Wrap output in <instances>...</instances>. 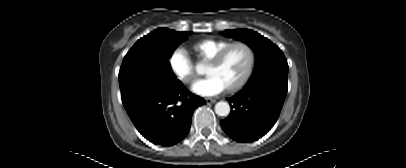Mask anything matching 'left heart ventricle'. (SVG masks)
<instances>
[{"label":"left heart ventricle","instance_id":"left-heart-ventricle-1","mask_svg":"<svg viewBox=\"0 0 406 168\" xmlns=\"http://www.w3.org/2000/svg\"><path fill=\"white\" fill-rule=\"evenodd\" d=\"M249 53L244 46L231 48L218 66L206 65L205 74L216 77L226 88L236 84L245 73Z\"/></svg>","mask_w":406,"mask_h":168}]
</instances>
